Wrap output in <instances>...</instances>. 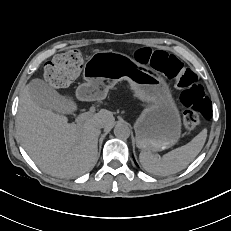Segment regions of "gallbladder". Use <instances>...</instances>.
Wrapping results in <instances>:
<instances>
[{"label":"gallbladder","mask_w":231,"mask_h":231,"mask_svg":"<svg viewBox=\"0 0 231 231\" xmlns=\"http://www.w3.org/2000/svg\"><path fill=\"white\" fill-rule=\"evenodd\" d=\"M29 94L32 100L44 109L61 111L69 106L63 96L41 79H34L29 83Z\"/></svg>","instance_id":"1"}]
</instances>
